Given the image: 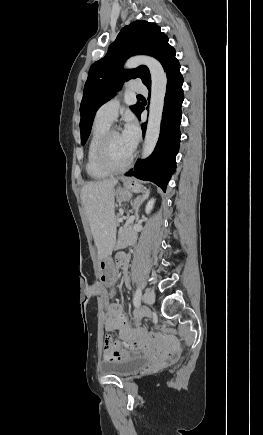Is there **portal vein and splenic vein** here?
I'll list each match as a JSON object with an SVG mask.
<instances>
[{"label":"portal vein and splenic vein","instance_id":"portal-vein-and-splenic-vein-1","mask_svg":"<svg viewBox=\"0 0 263 435\" xmlns=\"http://www.w3.org/2000/svg\"><path fill=\"white\" fill-rule=\"evenodd\" d=\"M133 221H134V217L133 216L129 217L125 223V227H128L130 223H133Z\"/></svg>","mask_w":263,"mask_h":435}]
</instances>
